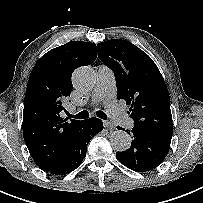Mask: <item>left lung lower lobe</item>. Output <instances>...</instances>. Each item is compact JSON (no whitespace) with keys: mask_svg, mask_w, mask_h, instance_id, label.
<instances>
[{"mask_svg":"<svg viewBox=\"0 0 203 203\" xmlns=\"http://www.w3.org/2000/svg\"><path fill=\"white\" fill-rule=\"evenodd\" d=\"M128 133L133 136L131 147L116 153L122 164L133 171L146 172L162 163L168 153L171 138L135 127L131 131L128 130Z\"/></svg>","mask_w":203,"mask_h":203,"instance_id":"obj_1","label":"left lung lower lobe"}]
</instances>
